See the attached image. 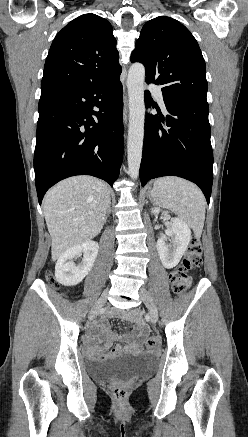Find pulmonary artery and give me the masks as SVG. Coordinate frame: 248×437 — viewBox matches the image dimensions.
<instances>
[{
    "mask_svg": "<svg viewBox=\"0 0 248 437\" xmlns=\"http://www.w3.org/2000/svg\"><path fill=\"white\" fill-rule=\"evenodd\" d=\"M150 90L155 95V97L158 100L161 107L165 108L164 97H163V93H162L161 89L156 87V86H150Z\"/></svg>",
    "mask_w": 248,
    "mask_h": 437,
    "instance_id": "obj_1",
    "label": "pulmonary artery"
}]
</instances>
